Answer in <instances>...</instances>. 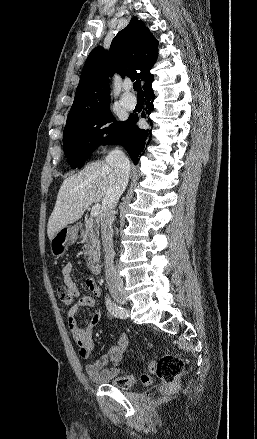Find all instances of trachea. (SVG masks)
Segmentation results:
<instances>
[{"instance_id": "1", "label": "trachea", "mask_w": 257, "mask_h": 439, "mask_svg": "<svg viewBox=\"0 0 257 439\" xmlns=\"http://www.w3.org/2000/svg\"><path fill=\"white\" fill-rule=\"evenodd\" d=\"M133 88H134V90L137 92V94H138L139 96H142V95H143V91H142V88H141V81H140V80H136V81L134 82V84H133Z\"/></svg>"}]
</instances>
